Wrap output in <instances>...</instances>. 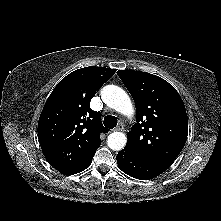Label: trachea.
Listing matches in <instances>:
<instances>
[{"instance_id":"1","label":"trachea","mask_w":221,"mask_h":221,"mask_svg":"<svg viewBox=\"0 0 221 221\" xmlns=\"http://www.w3.org/2000/svg\"><path fill=\"white\" fill-rule=\"evenodd\" d=\"M103 123H104V126L106 128L113 129L114 127H116L118 121H117V118L115 116L107 115L104 118Z\"/></svg>"}]
</instances>
